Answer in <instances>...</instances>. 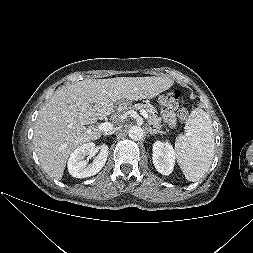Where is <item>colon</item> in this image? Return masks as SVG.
<instances>
[{
	"label": "colon",
	"instance_id": "obj_1",
	"mask_svg": "<svg viewBox=\"0 0 253 253\" xmlns=\"http://www.w3.org/2000/svg\"><path fill=\"white\" fill-rule=\"evenodd\" d=\"M181 95V91L175 90L171 93L166 94L163 99L167 103H173L178 101L181 98ZM178 114L181 121H185L188 117V111L185 108H181Z\"/></svg>",
	"mask_w": 253,
	"mask_h": 253
}]
</instances>
